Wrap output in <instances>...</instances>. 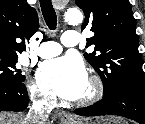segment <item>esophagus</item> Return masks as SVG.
I'll return each mask as SVG.
<instances>
[{
  "label": "esophagus",
  "instance_id": "34e87169",
  "mask_svg": "<svg viewBox=\"0 0 145 124\" xmlns=\"http://www.w3.org/2000/svg\"><path fill=\"white\" fill-rule=\"evenodd\" d=\"M60 119L64 124H73L76 120L72 114L66 112L60 113Z\"/></svg>",
  "mask_w": 145,
  "mask_h": 124
}]
</instances>
